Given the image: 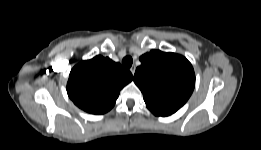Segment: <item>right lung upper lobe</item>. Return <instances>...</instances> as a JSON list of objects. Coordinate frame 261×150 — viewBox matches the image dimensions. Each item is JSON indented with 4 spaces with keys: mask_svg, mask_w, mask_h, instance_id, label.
<instances>
[{
    "mask_svg": "<svg viewBox=\"0 0 261 150\" xmlns=\"http://www.w3.org/2000/svg\"><path fill=\"white\" fill-rule=\"evenodd\" d=\"M132 79L131 72L119 63L96 56L73 67L67 83V93L82 110L103 114L115 105L120 90Z\"/></svg>",
    "mask_w": 261,
    "mask_h": 150,
    "instance_id": "cb5924a9",
    "label": "right lung upper lobe"
}]
</instances>
